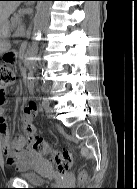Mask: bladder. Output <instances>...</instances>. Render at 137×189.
Listing matches in <instances>:
<instances>
[{
	"mask_svg": "<svg viewBox=\"0 0 137 189\" xmlns=\"http://www.w3.org/2000/svg\"><path fill=\"white\" fill-rule=\"evenodd\" d=\"M20 171L21 177L30 184H41L54 174L53 165L47 159H40L35 165H28Z\"/></svg>",
	"mask_w": 137,
	"mask_h": 189,
	"instance_id": "bladder-1",
	"label": "bladder"
}]
</instances>
